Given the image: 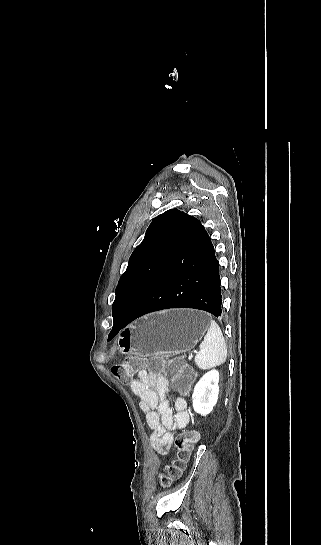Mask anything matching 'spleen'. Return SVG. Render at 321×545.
<instances>
[{
  "mask_svg": "<svg viewBox=\"0 0 321 545\" xmlns=\"http://www.w3.org/2000/svg\"><path fill=\"white\" fill-rule=\"evenodd\" d=\"M199 353L195 357V363L199 369H214L223 365L227 359V347L223 333L216 321H211L210 327L199 345Z\"/></svg>",
  "mask_w": 321,
  "mask_h": 545,
  "instance_id": "spleen-1",
  "label": "spleen"
}]
</instances>
